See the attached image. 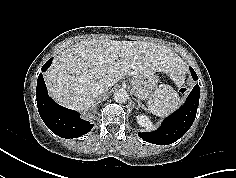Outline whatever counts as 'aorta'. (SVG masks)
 <instances>
[{
	"instance_id": "obj_1",
	"label": "aorta",
	"mask_w": 236,
	"mask_h": 178,
	"mask_svg": "<svg viewBox=\"0 0 236 178\" xmlns=\"http://www.w3.org/2000/svg\"><path fill=\"white\" fill-rule=\"evenodd\" d=\"M128 99V94L125 90H118L116 91V93L114 94V100L117 103H125Z\"/></svg>"
}]
</instances>
